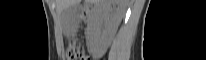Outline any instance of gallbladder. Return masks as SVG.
I'll use <instances>...</instances> for the list:
<instances>
[{
  "label": "gallbladder",
  "instance_id": "1",
  "mask_svg": "<svg viewBox=\"0 0 206 60\" xmlns=\"http://www.w3.org/2000/svg\"><path fill=\"white\" fill-rule=\"evenodd\" d=\"M82 14H83V6L78 1H75L74 4L65 8L60 14L63 29L64 30L75 29L82 19Z\"/></svg>",
  "mask_w": 206,
  "mask_h": 60
}]
</instances>
